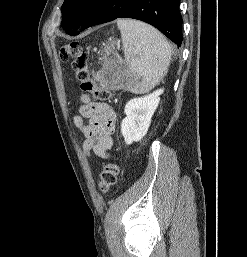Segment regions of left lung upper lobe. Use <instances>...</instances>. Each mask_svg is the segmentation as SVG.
Masks as SVG:
<instances>
[{
  "instance_id": "1",
  "label": "left lung upper lobe",
  "mask_w": 247,
  "mask_h": 257,
  "mask_svg": "<svg viewBox=\"0 0 247 257\" xmlns=\"http://www.w3.org/2000/svg\"><path fill=\"white\" fill-rule=\"evenodd\" d=\"M99 0H65L62 7L61 25L71 35L81 27Z\"/></svg>"
}]
</instances>
